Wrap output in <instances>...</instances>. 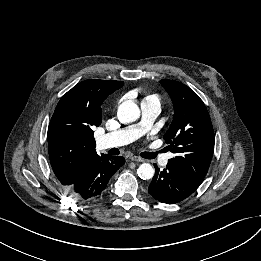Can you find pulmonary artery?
<instances>
[{"label": "pulmonary artery", "instance_id": "1", "mask_svg": "<svg viewBox=\"0 0 261 261\" xmlns=\"http://www.w3.org/2000/svg\"><path fill=\"white\" fill-rule=\"evenodd\" d=\"M142 108V120L134 126L125 129H121L115 132L108 133L99 139V143L102 148H111L123 146L136 140L141 134L152 124L156 117L160 113V107L156 102L143 101ZM173 156L170 154H158L155 158H158V164L160 166H166L168 160Z\"/></svg>", "mask_w": 261, "mask_h": 261}]
</instances>
